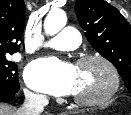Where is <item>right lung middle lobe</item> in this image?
Returning a JSON list of instances; mask_svg holds the SVG:
<instances>
[{
    "label": "right lung middle lobe",
    "mask_w": 131,
    "mask_h": 115,
    "mask_svg": "<svg viewBox=\"0 0 131 115\" xmlns=\"http://www.w3.org/2000/svg\"><path fill=\"white\" fill-rule=\"evenodd\" d=\"M8 53H0V93L16 90L19 86L17 65L7 60Z\"/></svg>",
    "instance_id": "1"
}]
</instances>
